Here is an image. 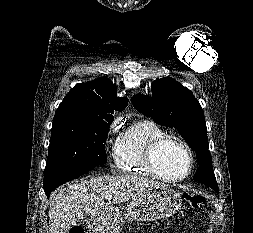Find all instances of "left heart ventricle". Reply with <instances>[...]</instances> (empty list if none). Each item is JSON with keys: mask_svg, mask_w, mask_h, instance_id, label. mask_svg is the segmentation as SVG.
I'll return each mask as SVG.
<instances>
[{"mask_svg": "<svg viewBox=\"0 0 253 233\" xmlns=\"http://www.w3.org/2000/svg\"><path fill=\"white\" fill-rule=\"evenodd\" d=\"M156 163L163 175L179 177L188 170L189 157L184 148L176 144H168L158 152Z\"/></svg>", "mask_w": 253, "mask_h": 233, "instance_id": "obj_1", "label": "left heart ventricle"}]
</instances>
